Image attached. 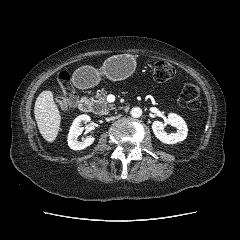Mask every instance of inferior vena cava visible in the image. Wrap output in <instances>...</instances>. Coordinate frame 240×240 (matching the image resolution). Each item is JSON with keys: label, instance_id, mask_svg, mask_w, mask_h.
Here are the masks:
<instances>
[{"label": "inferior vena cava", "instance_id": "602c4592", "mask_svg": "<svg viewBox=\"0 0 240 240\" xmlns=\"http://www.w3.org/2000/svg\"><path fill=\"white\" fill-rule=\"evenodd\" d=\"M115 117L107 118L108 121L113 120Z\"/></svg>", "mask_w": 240, "mask_h": 240}]
</instances>
